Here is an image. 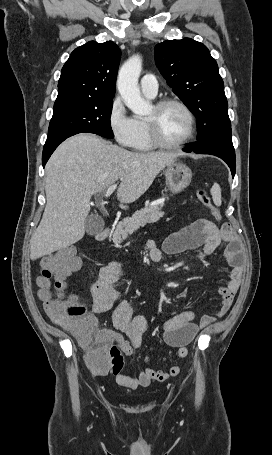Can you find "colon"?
Segmentation results:
<instances>
[{
	"label": "colon",
	"instance_id": "1",
	"mask_svg": "<svg viewBox=\"0 0 272 455\" xmlns=\"http://www.w3.org/2000/svg\"><path fill=\"white\" fill-rule=\"evenodd\" d=\"M198 200L209 208L217 220L220 213L210 197L198 191ZM73 246H66L44 259L37 278L38 294L49 318L75 336L86 352L87 364L96 371L118 372L123 366L122 350L110 345L95 334V320L86 314L84 306L74 297L67 296L68 278L79 267ZM188 355V352H183Z\"/></svg>",
	"mask_w": 272,
	"mask_h": 455
}]
</instances>
